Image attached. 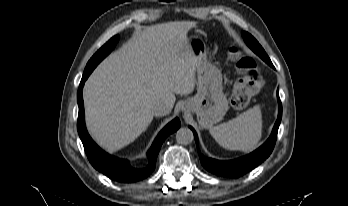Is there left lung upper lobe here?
Segmentation results:
<instances>
[{
	"label": "left lung upper lobe",
	"mask_w": 348,
	"mask_h": 206,
	"mask_svg": "<svg viewBox=\"0 0 348 206\" xmlns=\"http://www.w3.org/2000/svg\"><path fill=\"white\" fill-rule=\"evenodd\" d=\"M243 38L245 42L248 44V46L257 53L267 64L273 67V64L267 54L265 53L264 49L261 47V45L257 42V40L248 32H243Z\"/></svg>",
	"instance_id": "1"
}]
</instances>
